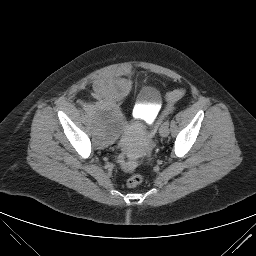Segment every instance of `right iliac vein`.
<instances>
[{"mask_svg":"<svg viewBox=\"0 0 256 256\" xmlns=\"http://www.w3.org/2000/svg\"><path fill=\"white\" fill-rule=\"evenodd\" d=\"M87 117L90 119V120H93L94 119V114L92 112H89L87 114Z\"/></svg>","mask_w":256,"mask_h":256,"instance_id":"obj_1","label":"right iliac vein"}]
</instances>
